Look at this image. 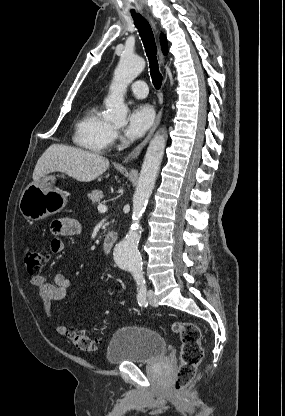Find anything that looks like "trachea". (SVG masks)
<instances>
[{
	"label": "trachea",
	"mask_w": 285,
	"mask_h": 416,
	"mask_svg": "<svg viewBox=\"0 0 285 416\" xmlns=\"http://www.w3.org/2000/svg\"><path fill=\"white\" fill-rule=\"evenodd\" d=\"M131 15L144 44L145 52L150 64V74L152 77L153 85L156 90H159L162 85L163 77L158 68L157 47L154 39V34L152 32L151 26L141 14L132 13Z\"/></svg>",
	"instance_id": "obj_1"
}]
</instances>
